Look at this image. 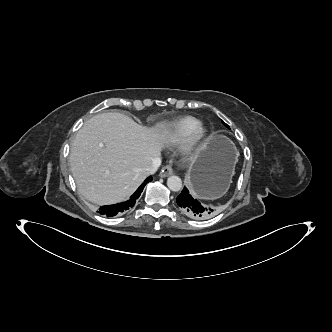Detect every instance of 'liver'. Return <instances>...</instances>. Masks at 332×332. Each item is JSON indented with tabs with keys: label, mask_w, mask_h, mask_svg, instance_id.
I'll use <instances>...</instances> for the list:
<instances>
[{
	"label": "liver",
	"mask_w": 332,
	"mask_h": 332,
	"mask_svg": "<svg viewBox=\"0 0 332 332\" xmlns=\"http://www.w3.org/2000/svg\"><path fill=\"white\" fill-rule=\"evenodd\" d=\"M170 138L168 124L146 129L121 113L97 114L84 123L69 162L79 192L98 205L128 199L148 176Z\"/></svg>",
	"instance_id": "6515ba94"
}]
</instances>
